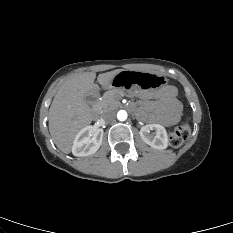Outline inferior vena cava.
Wrapping results in <instances>:
<instances>
[{
    "label": "inferior vena cava",
    "instance_id": "1",
    "mask_svg": "<svg viewBox=\"0 0 233 233\" xmlns=\"http://www.w3.org/2000/svg\"><path fill=\"white\" fill-rule=\"evenodd\" d=\"M102 118L106 121V122H111L114 121L115 119V113L113 111L107 110L102 114Z\"/></svg>",
    "mask_w": 233,
    "mask_h": 233
}]
</instances>
